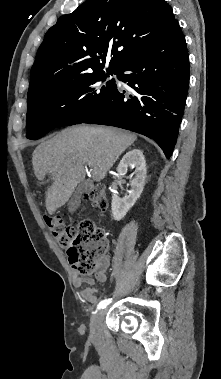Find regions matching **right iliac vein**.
I'll list each match as a JSON object with an SVG mask.
<instances>
[{
	"instance_id": "obj_1",
	"label": "right iliac vein",
	"mask_w": 221,
	"mask_h": 379,
	"mask_svg": "<svg viewBox=\"0 0 221 379\" xmlns=\"http://www.w3.org/2000/svg\"><path fill=\"white\" fill-rule=\"evenodd\" d=\"M104 315H105V310L102 309V310L96 312L91 318L90 333H91V337L93 339H97L100 336L101 325H102Z\"/></svg>"
}]
</instances>
